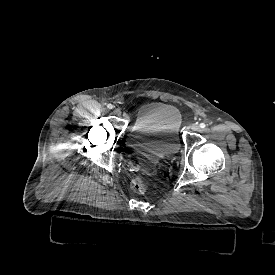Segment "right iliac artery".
Wrapping results in <instances>:
<instances>
[{
	"instance_id": "obj_1",
	"label": "right iliac artery",
	"mask_w": 275,
	"mask_h": 275,
	"mask_svg": "<svg viewBox=\"0 0 275 275\" xmlns=\"http://www.w3.org/2000/svg\"><path fill=\"white\" fill-rule=\"evenodd\" d=\"M107 107H108L109 109H112V108H113V105H112V104H108Z\"/></svg>"
}]
</instances>
